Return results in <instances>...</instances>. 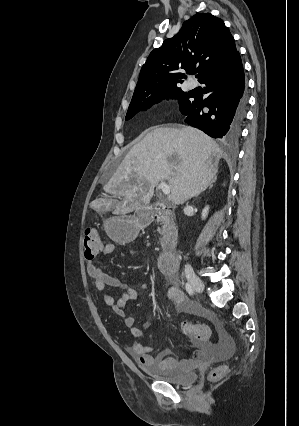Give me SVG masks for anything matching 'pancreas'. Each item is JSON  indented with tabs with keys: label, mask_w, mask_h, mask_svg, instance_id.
Masks as SVG:
<instances>
[{
	"label": "pancreas",
	"mask_w": 299,
	"mask_h": 426,
	"mask_svg": "<svg viewBox=\"0 0 299 426\" xmlns=\"http://www.w3.org/2000/svg\"><path fill=\"white\" fill-rule=\"evenodd\" d=\"M157 223H160L161 227H158V232L160 234H165L168 229L174 228V219L168 216H159L157 218Z\"/></svg>",
	"instance_id": "pancreas-1"
}]
</instances>
